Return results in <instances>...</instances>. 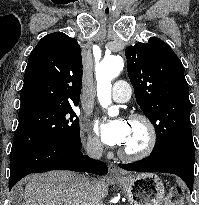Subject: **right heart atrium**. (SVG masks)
Masks as SVG:
<instances>
[{"instance_id": "obj_1", "label": "right heart atrium", "mask_w": 199, "mask_h": 205, "mask_svg": "<svg viewBox=\"0 0 199 205\" xmlns=\"http://www.w3.org/2000/svg\"><path fill=\"white\" fill-rule=\"evenodd\" d=\"M84 147L86 152L93 157L99 156L102 151L99 141L95 137L89 135L84 137Z\"/></svg>"}]
</instances>
